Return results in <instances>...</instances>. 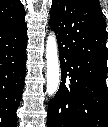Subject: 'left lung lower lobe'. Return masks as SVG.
I'll return each instance as SVG.
<instances>
[{
	"label": "left lung lower lobe",
	"mask_w": 108,
	"mask_h": 127,
	"mask_svg": "<svg viewBox=\"0 0 108 127\" xmlns=\"http://www.w3.org/2000/svg\"><path fill=\"white\" fill-rule=\"evenodd\" d=\"M50 26L62 83L49 103L47 127H108L107 31L98 1L52 0ZM72 65L77 78L70 81Z\"/></svg>",
	"instance_id": "left-lung-lower-lobe-1"
}]
</instances>
